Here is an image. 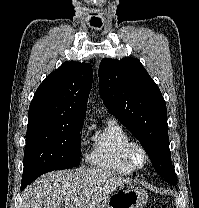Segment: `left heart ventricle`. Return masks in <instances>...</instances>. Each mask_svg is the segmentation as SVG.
Here are the masks:
<instances>
[{"instance_id":"1","label":"left heart ventricle","mask_w":199,"mask_h":208,"mask_svg":"<svg viewBox=\"0 0 199 208\" xmlns=\"http://www.w3.org/2000/svg\"><path fill=\"white\" fill-rule=\"evenodd\" d=\"M133 156H134V159L137 161V162H142L143 161V155L141 153V151L139 149H135L133 151Z\"/></svg>"}]
</instances>
